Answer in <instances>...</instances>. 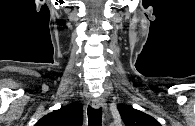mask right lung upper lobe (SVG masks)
<instances>
[{
    "instance_id": "obj_1",
    "label": "right lung upper lobe",
    "mask_w": 195,
    "mask_h": 126,
    "mask_svg": "<svg viewBox=\"0 0 195 126\" xmlns=\"http://www.w3.org/2000/svg\"><path fill=\"white\" fill-rule=\"evenodd\" d=\"M83 105L78 102L54 110L42 117L35 126H81Z\"/></svg>"
}]
</instances>
